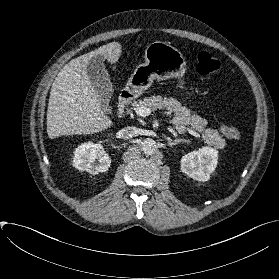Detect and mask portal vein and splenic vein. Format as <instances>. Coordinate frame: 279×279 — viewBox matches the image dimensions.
<instances>
[{
  "label": "portal vein and splenic vein",
  "instance_id": "18ae733b",
  "mask_svg": "<svg viewBox=\"0 0 279 279\" xmlns=\"http://www.w3.org/2000/svg\"><path fill=\"white\" fill-rule=\"evenodd\" d=\"M135 112L137 115L141 116V117H146V116H149L151 114V110L147 107H144V106H140V107H137L135 108ZM187 131L197 137V138H201L200 134L197 133L196 131L192 130V129H187Z\"/></svg>",
  "mask_w": 279,
  "mask_h": 279
}]
</instances>
